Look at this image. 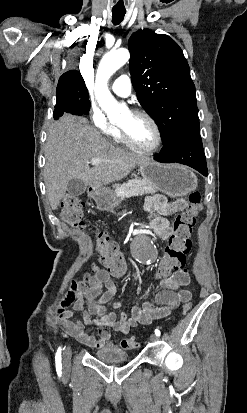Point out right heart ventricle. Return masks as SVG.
I'll return each mask as SVG.
<instances>
[{"instance_id": "1", "label": "right heart ventricle", "mask_w": 247, "mask_h": 413, "mask_svg": "<svg viewBox=\"0 0 247 413\" xmlns=\"http://www.w3.org/2000/svg\"><path fill=\"white\" fill-rule=\"evenodd\" d=\"M112 136L116 139V141H118V142H120V143L123 144V141H122V139H121L120 134H119L118 131H116L115 133H113ZM119 151H121V150H119Z\"/></svg>"}]
</instances>
